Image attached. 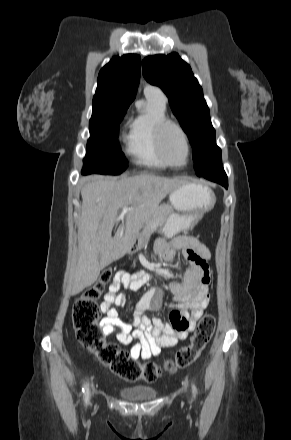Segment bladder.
Here are the masks:
<instances>
[{"instance_id": "31cf9c89", "label": "bladder", "mask_w": 291, "mask_h": 440, "mask_svg": "<svg viewBox=\"0 0 291 440\" xmlns=\"http://www.w3.org/2000/svg\"><path fill=\"white\" fill-rule=\"evenodd\" d=\"M120 395L127 401H142L155 398L157 391L152 387L134 386L121 389Z\"/></svg>"}]
</instances>
